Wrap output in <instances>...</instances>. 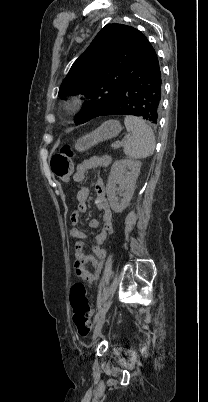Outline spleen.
<instances>
[{
    "label": "spleen",
    "mask_w": 208,
    "mask_h": 402,
    "mask_svg": "<svg viewBox=\"0 0 208 402\" xmlns=\"http://www.w3.org/2000/svg\"><path fill=\"white\" fill-rule=\"evenodd\" d=\"M124 124L127 132H131L124 144V154L132 160H142L152 156L155 150L152 128L136 116H126Z\"/></svg>",
    "instance_id": "1"
}]
</instances>
